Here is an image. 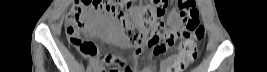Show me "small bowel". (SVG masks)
<instances>
[{"instance_id":"small-bowel-1","label":"small bowel","mask_w":267,"mask_h":72,"mask_svg":"<svg viewBox=\"0 0 267 72\" xmlns=\"http://www.w3.org/2000/svg\"><path fill=\"white\" fill-rule=\"evenodd\" d=\"M130 11L132 7L130 6ZM167 22L172 31L175 39H179L182 36L183 26H182V17L176 12L171 11L167 17ZM90 35L92 36H100L105 39H109L115 44L119 45L120 47H128L127 40L121 36L117 35L115 29L113 28L110 20L103 19L99 21L90 31ZM142 54L140 49L135 50L133 57H132V67L128 70V72H137L136 65L138 60ZM83 56L87 57L90 61L92 66H94V72H102L103 69L101 65L103 62L100 60L101 57H98V52L96 48L93 46L91 52L89 54H82ZM176 60V56H168L164 60L161 61L159 66L154 63H150L144 70L141 72H174L173 71V64Z\"/></svg>"}]
</instances>
